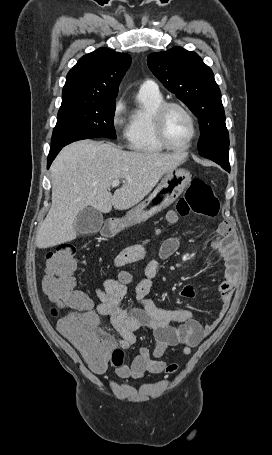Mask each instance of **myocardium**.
Wrapping results in <instances>:
<instances>
[{"label": "myocardium", "instance_id": "obj_1", "mask_svg": "<svg viewBox=\"0 0 272 455\" xmlns=\"http://www.w3.org/2000/svg\"><path fill=\"white\" fill-rule=\"evenodd\" d=\"M171 108H178L182 112L186 114L188 117L190 123H191V128H192V134L188 142L183 145V146H176L173 145L167 138L166 131H165V118L167 112ZM153 129L155 136L158 140V142L168 150L172 151H177V152H182L188 150L196 140L198 136V124L196 121V118L194 114L191 112V110L186 107L184 104L176 101H163L154 111L153 113Z\"/></svg>", "mask_w": 272, "mask_h": 455}]
</instances>
